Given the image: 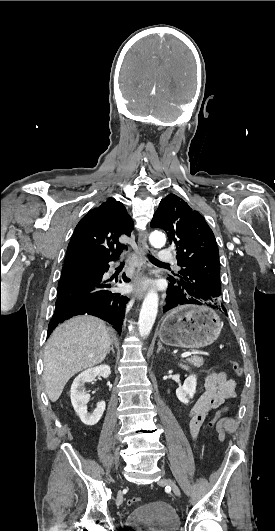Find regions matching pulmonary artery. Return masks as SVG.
Listing matches in <instances>:
<instances>
[{"label": "pulmonary artery", "mask_w": 275, "mask_h": 531, "mask_svg": "<svg viewBox=\"0 0 275 531\" xmlns=\"http://www.w3.org/2000/svg\"><path fill=\"white\" fill-rule=\"evenodd\" d=\"M156 257L160 259L161 263L163 264H172L175 261V258L173 256V252L171 250H158L156 252Z\"/></svg>", "instance_id": "e3ab8cb5"}]
</instances>
